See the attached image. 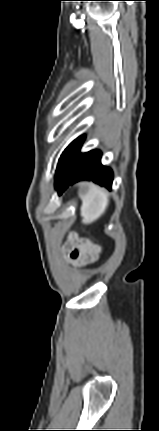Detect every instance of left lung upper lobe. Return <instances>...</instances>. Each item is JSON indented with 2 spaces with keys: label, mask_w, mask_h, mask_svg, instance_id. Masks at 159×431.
Here are the masks:
<instances>
[{
  "label": "left lung upper lobe",
  "mask_w": 159,
  "mask_h": 431,
  "mask_svg": "<svg viewBox=\"0 0 159 431\" xmlns=\"http://www.w3.org/2000/svg\"><path fill=\"white\" fill-rule=\"evenodd\" d=\"M74 142H75V140L62 153V155H61V157L59 159V162H58V167H57L56 175L59 173V171H60V169L62 167L63 161H64V159H65V157H66L69 149L71 148V146L73 145Z\"/></svg>",
  "instance_id": "left-lung-upper-lobe-1"
}]
</instances>
